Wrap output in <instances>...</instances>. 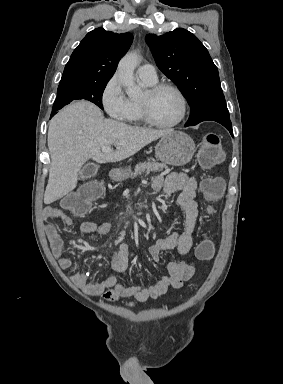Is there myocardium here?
<instances>
[{"mask_svg":"<svg viewBox=\"0 0 283 384\" xmlns=\"http://www.w3.org/2000/svg\"><path fill=\"white\" fill-rule=\"evenodd\" d=\"M147 90L149 95H154L162 90H170L176 94L181 104V110L178 118L171 123L162 124L157 122L151 116L148 101L139 100L140 114H141L142 120L147 125L153 128L161 129V130H168L178 126L184 120L187 113V101L184 94L177 86L167 82H162V83H155L150 85Z\"/></svg>","mask_w":283,"mask_h":384,"instance_id":"myocardium-1","label":"myocardium"}]
</instances>
